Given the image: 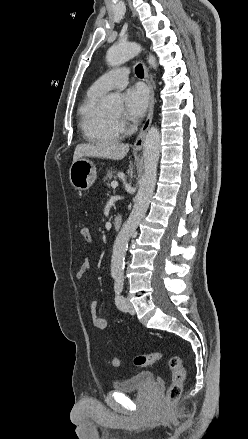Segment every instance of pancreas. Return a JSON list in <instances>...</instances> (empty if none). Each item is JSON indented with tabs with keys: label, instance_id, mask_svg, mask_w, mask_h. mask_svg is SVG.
Returning a JSON list of instances; mask_svg holds the SVG:
<instances>
[{
	"label": "pancreas",
	"instance_id": "1",
	"mask_svg": "<svg viewBox=\"0 0 248 439\" xmlns=\"http://www.w3.org/2000/svg\"><path fill=\"white\" fill-rule=\"evenodd\" d=\"M116 179L117 178V172L115 169H110L107 171L106 176L104 177V181H108L109 179Z\"/></svg>",
	"mask_w": 248,
	"mask_h": 439
}]
</instances>
